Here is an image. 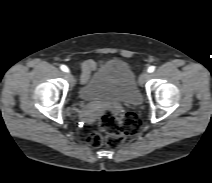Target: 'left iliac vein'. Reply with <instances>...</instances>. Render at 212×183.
<instances>
[{
    "mask_svg": "<svg viewBox=\"0 0 212 183\" xmlns=\"http://www.w3.org/2000/svg\"><path fill=\"white\" fill-rule=\"evenodd\" d=\"M148 77H149V73H148V72H143V73L140 75V77H139V83H140L141 85H143V84L146 82V80L148 79Z\"/></svg>",
    "mask_w": 212,
    "mask_h": 183,
    "instance_id": "1",
    "label": "left iliac vein"
}]
</instances>
